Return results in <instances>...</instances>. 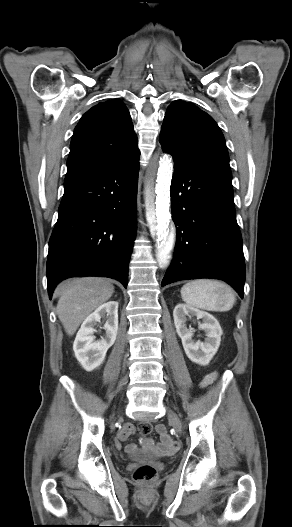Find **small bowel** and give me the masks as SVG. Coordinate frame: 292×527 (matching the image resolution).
<instances>
[{
  "mask_svg": "<svg viewBox=\"0 0 292 527\" xmlns=\"http://www.w3.org/2000/svg\"><path fill=\"white\" fill-rule=\"evenodd\" d=\"M214 377H215L214 374L207 375L203 379V381L201 383L202 386L209 385L214 380ZM156 427H157L156 432H157V434L160 437V441L158 443H155L154 440H152L151 438L143 437L140 440L141 446L144 449H147V450H157L159 452L166 453V454L175 452L177 450V448H178V444H177L176 441H174L167 434L168 429H167L166 422L165 421H158L157 424H156ZM135 431H136V427L134 425H132V424H128V425L124 426L122 428V430L118 433V436H117V438H116V440L114 442L115 449L121 450L122 443L124 441H126L127 438L131 434H133ZM151 431H152V429H151ZM144 435H146V434H144ZM127 450L128 451H135L136 450V446L135 445H129L127 447ZM168 457H171V454H168Z\"/></svg>",
  "mask_w": 292,
  "mask_h": 527,
  "instance_id": "obj_1",
  "label": "small bowel"
}]
</instances>
